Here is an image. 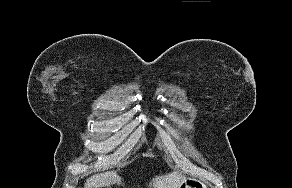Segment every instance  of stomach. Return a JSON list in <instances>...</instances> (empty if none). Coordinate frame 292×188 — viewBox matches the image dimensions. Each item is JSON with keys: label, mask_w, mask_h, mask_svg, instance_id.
Here are the masks:
<instances>
[{"label": "stomach", "mask_w": 292, "mask_h": 188, "mask_svg": "<svg viewBox=\"0 0 292 188\" xmlns=\"http://www.w3.org/2000/svg\"><path fill=\"white\" fill-rule=\"evenodd\" d=\"M179 188H208V184L195 178H185Z\"/></svg>", "instance_id": "obj_1"}]
</instances>
